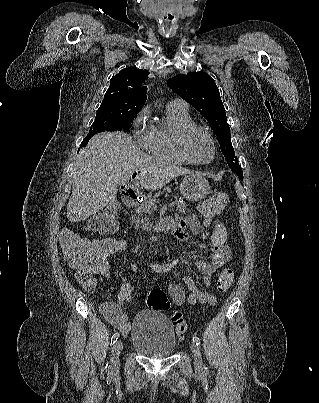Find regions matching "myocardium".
I'll return each mask as SVG.
<instances>
[{
    "label": "myocardium",
    "instance_id": "myocardium-1",
    "mask_svg": "<svg viewBox=\"0 0 319 403\" xmlns=\"http://www.w3.org/2000/svg\"><path fill=\"white\" fill-rule=\"evenodd\" d=\"M197 132L203 133L208 140L210 141L212 148H213V155L211 159L208 161H199L197 160L191 153L189 149V140L191 136ZM178 148L180 153L185 157L187 160H189L191 163L197 164V165H205L213 162L216 158L217 155V146L215 143V140L212 136V134L205 128L196 124L189 125L185 128H183L178 136Z\"/></svg>",
    "mask_w": 319,
    "mask_h": 403
}]
</instances>
